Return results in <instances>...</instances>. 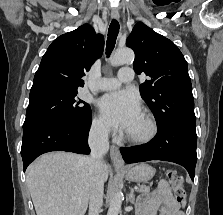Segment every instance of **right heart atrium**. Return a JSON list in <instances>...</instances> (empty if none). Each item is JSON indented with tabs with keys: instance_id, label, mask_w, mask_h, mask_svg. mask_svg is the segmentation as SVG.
Instances as JSON below:
<instances>
[{
	"instance_id": "d8ad5b80",
	"label": "right heart atrium",
	"mask_w": 223,
	"mask_h": 215,
	"mask_svg": "<svg viewBox=\"0 0 223 215\" xmlns=\"http://www.w3.org/2000/svg\"><path fill=\"white\" fill-rule=\"evenodd\" d=\"M91 129L92 132L100 138L107 136L110 132L109 126L103 121L101 117H95L93 119Z\"/></svg>"
}]
</instances>
